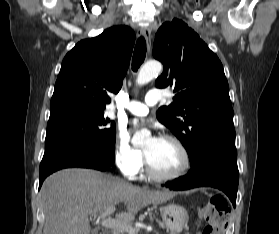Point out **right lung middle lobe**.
I'll return each mask as SVG.
<instances>
[{"mask_svg":"<svg viewBox=\"0 0 279 234\" xmlns=\"http://www.w3.org/2000/svg\"><path fill=\"white\" fill-rule=\"evenodd\" d=\"M116 126L104 111L64 108L51 111L45 151L64 144H78L113 164Z\"/></svg>","mask_w":279,"mask_h":234,"instance_id":"right-lung-middle-lobe-1","label":"right lung middle lobe"}]
</instances>
